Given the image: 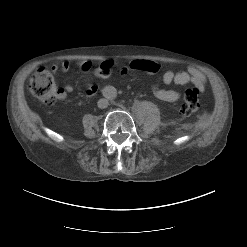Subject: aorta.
<instances>
[{"mask_svg":"<svg viewBox=\"0 0 247 247\" xmlns=\"http://www.w3.org/2000/svg\"><path fill=\"white\" fill-rule=\"evenodd\" d=\"M104 96L109 99V100H113L116 98L117 96V90L115 87L113 86H106L104 88Z\"/></svg>","mask_w":247,"mask_h":247,"instance_id":"aorta-1","label":"aorta"}]
</instances>
